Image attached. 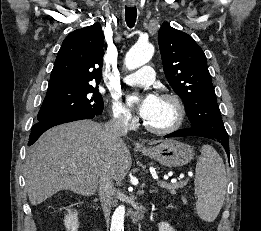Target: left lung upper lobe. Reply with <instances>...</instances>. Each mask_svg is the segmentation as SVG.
Returning a JSON list of instances; mask_svg holds the SVG:
<instances>
[{"label":"left lung upper lobe","mask_w":261,"mask_h":231,"mask_svg":"<svg viewBox=\"0 0 261 231\" xmlns=\"http://www.w3.org/2000/svg\"><path fill=\"white\" fill-rule=\"evenodd\" d=\"M158 41L165 76L182 99L191 127L209 138L228 139L201 47L167 22L159 30Z\"/></svg>","instance_id":"1"}]
</instances>
